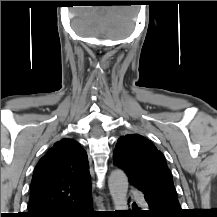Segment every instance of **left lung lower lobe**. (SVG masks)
<instances>
[{"mask_svg": "<svg viewBox=\"0 0 217 217\" xmlns=\"http://www.w3.org/2000/svg\"><path fill=\"white\" fill-rule=\"evenodd\" d=\"M146 202L149 205V210L145 212L137 211V214L150 216V217H177V212H170L162 208V206H159L157 203H155L152 200H146Z\"/></svg>", "mask_w": 217, "mask_h": 217, "instance_id": "0a47b994", "label": "left lung lower lobe"}]
</instances>
